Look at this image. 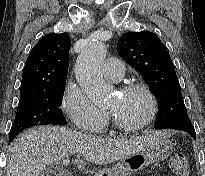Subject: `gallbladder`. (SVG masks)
<instances>
[{"label":"gallbladder","instance_id":"gallbladder-1","mask_svg":"<svg viewBox=\"0 0 205 176\" xmlns=\"http://www.w3.org/2000/svg\"><path fill=\"white\" fill-rule=\"evenodd\" d=\"M56 169L54 167H47L44 171V176H55ZM66 176V175H65Z\"/></svg>","mask_w":205,"mask_h":176}]
</instances>
